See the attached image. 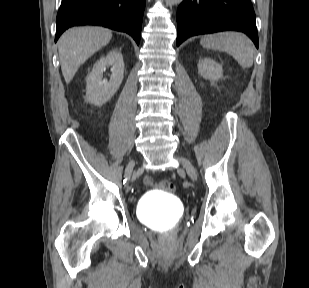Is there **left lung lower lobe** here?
I'll use <instances>...</instances> for the list:
<instances>
[{
  "label": "left lung lower lobe",
  "instance_id": "0a47b994",
  "mask_svg": "<svg viewBox=\"0 0 309 288\" xmlns=\"http://www.w3.org/2000/svg\"><path fill=\"white\" fill-rule=\"evenodd\" d=\"M177 46L191 36L224 30L246 33L258 48L250 0H184L177 10Z\"/></svg>",
  "mask_w": 309,
  "mask_h": 288
}]
</instances>
